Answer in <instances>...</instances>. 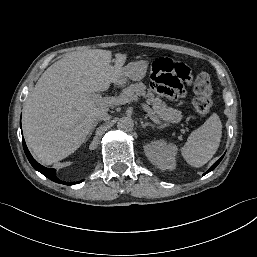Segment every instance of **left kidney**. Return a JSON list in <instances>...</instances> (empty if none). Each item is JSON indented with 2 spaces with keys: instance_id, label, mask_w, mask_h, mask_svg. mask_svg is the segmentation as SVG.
I'll use <instances>...</instances> for the list:
<instances>
[{
  "instance_id": "5707ae66",
  "label": "left kidney",
  "mask_w": 257,
  "mask_h": 257,
  "mask_svg": "<svg viewBox=\"0 0 257 257\" xmlns=\"http://www.w3.org/2000/svg\"><path fill=\"white\" fill-rule=\"evenodd\" d=\"M149 161L160 170H174L176 168V154L178 148L165 140H156L144 147Z\"/></svg>"
}]
</instances>
